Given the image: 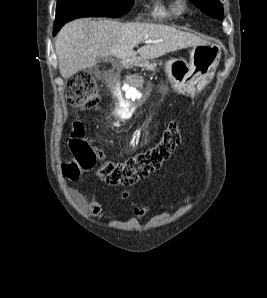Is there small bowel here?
<instances>
[{
    "mask_svg": "<svg viewBox=\"0 0 267 298\" xmlns=\"http://www.w3.org/2000/svg\"><path fill=\"white\" fill-rule=\"evenodd\" d=\"M74 197L76 201L83 207H85L92 215L100 216L102 215V208L100 204L96 201L95 195L93 194L89 200H86L80 193L74 192ZM123 198L128 197V192H123ZM134 215L138 218H142L146 212V208H135Z\"/></svg>",
    "mask_w": 267,
    "mask_h": 298,
    "instance_id": "c3829d8e",
    "label": "small bowel"
}]
</instances>
